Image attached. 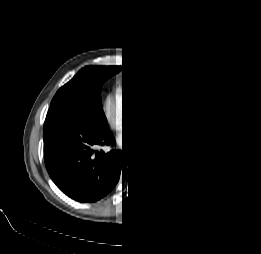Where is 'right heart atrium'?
Listing matches in <instances>:
<instances>
[{
	"instance_id": "right-heart-atrium-1",
	"label": "right heart atrium",
	"mask_w": 261,
	"mask_h": 254,
	"mask_svg": "<svg viewBox=\"0 0 261 254\" xmlns=\"http://www.w3.org/2000/svg\"><path fill=\"white\" fill-rule=\"evenodd\" d=\"M106 112L111 127L118 130L123 129L135 117L133 110L123 96L109 99Z\"/></svg>"
}]
</instances>
